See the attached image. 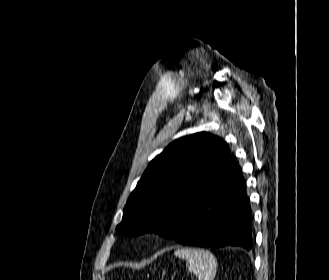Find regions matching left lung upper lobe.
Returning a JSON list of instances; mask_svg holds the SVG:
<instances>
[{"instance_id":"1","label":"left lung upper lobe","mask_w":329,"mask_h":280,"mask_svg":"<svg viewBox=\"0 0 329 280\" xmlns=\"http://www.w3.org/2000/svg\"><path fill=\"white\" fill-rule=\"evenodd\" d=\"M233 160L226 143L206 132L172 142L150 162L129 196L117 233L162 235L192 213L205 194L219 189Z\"/></svg>"}]
</instances>
